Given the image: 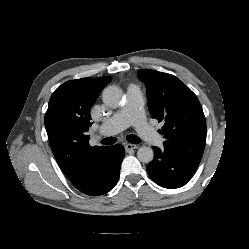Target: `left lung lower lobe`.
<instances>
[{
    "mask_svg": "<svg viewBox=\"0 0 249 249\" xmlns=\"http://www.w3.org/2000/svg\"><path fill=\"white\" fill-rule=\"evenodd\" d=\"M154 159L147 166L150 178L158 185L174 189L184 186L195 173L199 163L168 148L153 147Z\"/></svg>",
    "mask_w": 249,
    "mask_h": 249,
    "instance_id": "0a47b994",
    "label": "left lung lower lobe"
}]
</instances>
